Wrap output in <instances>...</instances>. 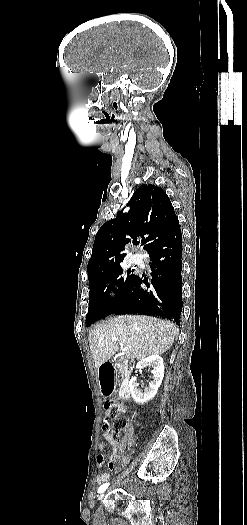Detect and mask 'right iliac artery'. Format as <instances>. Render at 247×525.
<instances>
[{
	"label": "right iliac artery",
	"instance_id": "82829eb1",
	"mask_svg": "<svg viewBox=\"0 0 247 525\" xmlns=\"http://www.w3.org/2000/svg\"><path fill=\"white\" fill-rule=\"evenodd\" d=\"M109 486V483H105L103 485H101L99 488H98V493H102L103 491H105L107 489V487Z\"/></svg>",
	"mask_w": 247,
	"mask_h": 525
}]
</instances>
